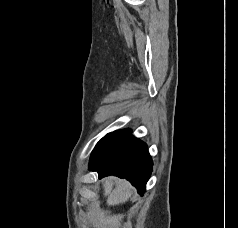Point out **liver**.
<instances>
[{
	"mask_svg": "<svg viewBox=\"0 0 238 228\" xmlns=\"http://www.w3.org/2000/svg\"><path fill=\"white\" fill-rule=\"evenodd\" d=\"M102 184L104 190L103 195L107 197L108 206L124 204L134 192V188L128 181L120 180L115 177L103 179Z\"/></svg>",
	"mask_w": 238,
	"mask_h": 228,
	"instance_id": "liver-1",
	"label": "liver"
}]
</instances>
